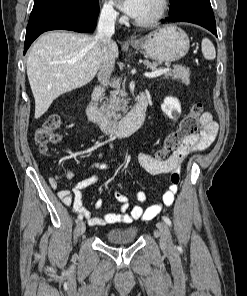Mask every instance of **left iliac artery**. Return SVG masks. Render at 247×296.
I'll return each instance as SVG.
<instances>
[{"instance_id": "left-iliac-artery-1", "label": "left iliac artery", "mask_w": 247, "mask_h": 296, "mask_svg": "<svg viewBox=\"0 0 247 296\" xmlns=\"http://www.w3.org/2000/svg\"><path fill=\"white\" fill-rule=\"evenodd\" d=\"M163 220L168 226H171V220L168 217L163 216Z\"/></svg>"}]
</instances>
